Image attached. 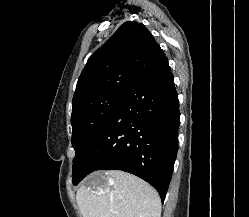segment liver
<instances>
[{
    "instance_id": "6515ba94",
    "label": "liver",
    "mask_w": 249,
    "mask_h": 217,
    "mask_svg": "<svg viewBox=\"0 0 249 217\" xmlns=\"http://www.w3.org/2000/svg\"><path fill=\"white\" fill-rule=\"evenodd\" d=\"M98 178L107 180L103 186L82 185L76 194L82 217H160L161 201L148 183L120 170L92 174L93 185Z\"/></svg>"
}]
</instances>
